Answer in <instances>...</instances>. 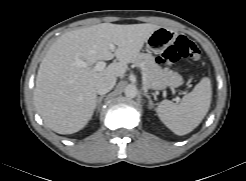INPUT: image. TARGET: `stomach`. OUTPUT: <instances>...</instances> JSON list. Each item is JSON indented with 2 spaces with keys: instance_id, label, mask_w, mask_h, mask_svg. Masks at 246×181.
<instances>
[{
  "instance_id": "obj_1",
  "label": "stomach",
  "mask_w": 246,
  "mask_h": 181,
  "mask_svg": "<svg viewBox=\"0 0 246 181\" xmlns=\"http://www.w3.org/2000/svg\"><path fill=\"white\" fill-rule=\"evenodd\" d=\"M177 38V33L172 29L166 27H160L155 30L150 37L147 39V48H149L153 52H159L163 50L165 47L172 44ZM175 78L170 80L165 87L169 86L172 88H176L181 85L182 78L178 73H174Z\"/></svg>"
}]
</instances>
